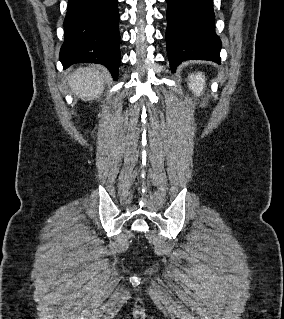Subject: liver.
Here are the masks:
<instances>
[{"mask_svg":"<svg viewBox=\"0 0 284 319\" xmlns=\"http://www.w3.org/2000/svg\"><path fill=\"white\" fill-rule=\"evenodd\" d=\"M109 79V73L100 71L98 66L92 65L77 69L69 77L68 84L74 95L90 101L101 95L104 83Z\"/></svg>","mask_w":284,"mask_h":319,"instance_id":"1","label":"liver"}]
</instances>
